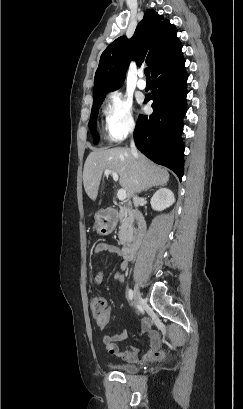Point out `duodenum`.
Wrapping results in <instances>:
<instances>
[{
  "mask_svg": "<svg viewBox=\"0 0 243 409\" xmlns=\"http://www.w3.org/2000/svg\"><path fill=\"white\" fill-rule=\"evenodd\" d=\"M108 211L111 216L115 213L112 208H109ZM132 215L137 220V227L132 234L131 240L122 247V255L125 259H132L135 256L141 238L145 233L144 217L139 212H133Z\"/></svg>",
  "mask_w": 243,
  "mask_h": 409,
  "instance_id": "410a0bca",
  "label": "duodenum"
}]
</instances>
